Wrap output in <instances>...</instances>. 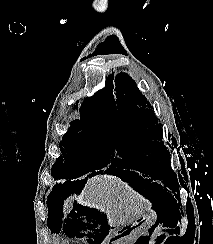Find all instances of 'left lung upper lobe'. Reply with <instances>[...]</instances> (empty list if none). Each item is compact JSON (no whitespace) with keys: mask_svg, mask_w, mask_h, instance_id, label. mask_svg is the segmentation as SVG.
<instances>
[{"mask_svg":"<svg viewBox=\"0 0 213 244\" xmlns=\"http://www.w3.org/2000/svg\"><path fill=\"white\" fill-rule=\"evenodd\" d=\"M114 81V84H113ZM100 97L112 116L115 127L126 138L128 149L136 158L137 169L149 170L173 192L179 185L171 169L169 151L160 140L163 138L153 110L147 108L149 101L137 88L134 80L125 73H114L106 80ZM150 107V106H149Z\"/></svg>","mask_w":213,"mask_h":244,"instance_id":"left-lung-upper-lobe-1","label":"left lung upper lobe"}]
</instances>
